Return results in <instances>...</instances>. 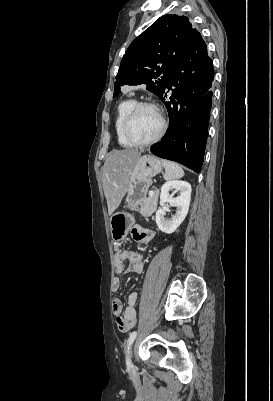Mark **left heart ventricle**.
<instances>
[{"label":"left heart ventricle","mask_w":273,"mask_h":401,"mask_svg":"<svg viewBox=\"0 0 273 401\" xmlns=\"http://www.w3.org/2000/svg\"><path fill=\"white\" fill-rule=\"evenodd\" d=\"M160 129V116L151 109L142 108L135 114L129 127V133L133 138L145 141L155 137Z\"/></svg>","instance_id":"1"}]
</instances>
